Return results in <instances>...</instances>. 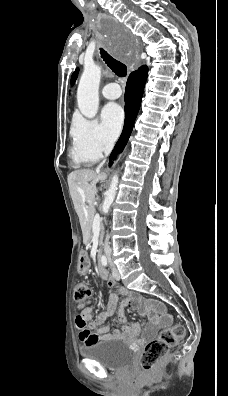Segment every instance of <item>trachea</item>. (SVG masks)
<instances>
[{
  "mask_svg": "<svg viewBox=\"0 0 228 396\" xmlns=\"http://www.w3.org/2000/svg\"><path fill=\"white\" fill-rule=\"evenodd\" d=\"M100 54L105 63L110 67V69L119 77H125L127 75V67L125 64L121 63L109 55L105 50L100 49Z\"/></svg>",
  "mask_w": 228,
  "mask_h": 396,
  "instance_id": "1",
  "label": "trachea"
}]
</instances>
